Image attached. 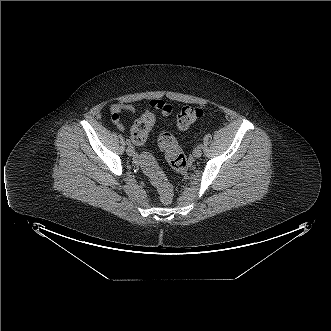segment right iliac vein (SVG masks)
Here are the masks:
<instances>
[{"label": "right iliac vein", "mask_w": 331, "mask_h": 331, "mask_svg": "<svg viewBox=\"0 0 331 331\" xmlns=\"http://www.w3.org/2000/svg\"><path fill=\"white\" fill-rule=\"evenodd\" d=\"M126 152H127V154H128L129 156H134V154H135V149H134L133 146L130 145V146L127 147Z\"/></svg>", "instance_id": "right-iliac-vein-1"}]
</instances>
